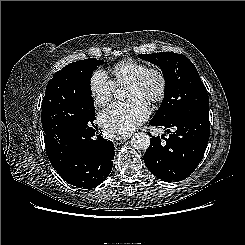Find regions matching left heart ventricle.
<instances>
[{
	"label": "left heart ventricle",
	"mask_w": 245,
	"mask_h": 245,
	"mask_svg": "<svg viewBox=\"0 0 245 245\" xmlns=\"http://www.w3.org/2000/svg\"><path fill=\"white\" fill-rule=\"evenodd\" d=\"M157 90H158V80L156 77L152 76L147 80L145 85L140 88L127 85L125 97L127 99H131L133 97H139L147 101V98L150 95L156 93Z\"/></svg>",
	"instance_id": "1"
}]
</instances>
